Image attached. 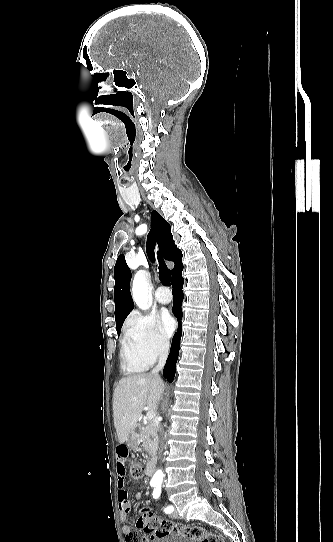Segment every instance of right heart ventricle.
<instances>
[{
    "mask_svg": "<svg viewBox=\"0 0 333 542\" xmlns=\"http://www.w3.org/2000/svg\"><path fill=\"white\" fill-rule=\"evenodd\" d=\"M121 358L124 369L130 373L145 371L154 362L153 357L127 340L122 342Z\"/></svg>",
    "mask_w": 333,
    "mask_h": 542,
    "instance_id": "obj_1",
    "label": "right heart ventricle"
}]
</instances>
